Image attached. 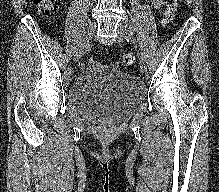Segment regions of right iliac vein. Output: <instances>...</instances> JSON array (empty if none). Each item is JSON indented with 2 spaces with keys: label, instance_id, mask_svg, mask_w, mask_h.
Listing matches in <instances>:
<instances>
[{
  "label": "right iliac vein",
  "instance_id": "1",
  "mask_svg": "<svg viewBox=\"0 0 219 192\" xmlns=\"http://www.w3.org/2000/svg\"><path fill=\"white\" fill-rule=\"evenodd\" d=\"M95 28H96L95 21H93V20L90 21L85 33L83 34V36L81 38L80 45L77 48V51L74 55L75 62H77L82 57V55L85 53L87 45H88L90 39L92 38V35L94 34Z\"/></svg>",
  "mask_w": 219,
  "mask_h": 192
}]
</instances>
